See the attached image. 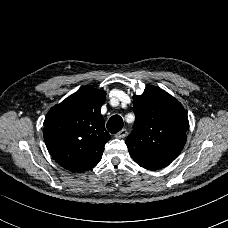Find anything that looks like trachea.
I'll use <instances>...</instances> for the list:
<instances>
[{
  "mask_svg": "<svg viewBox=\"0 0 228 228\" xmlns=\"http://www.w3.org/2000/svg\"><path fill=\"white\" fill-rule=\"evenodd\" d=\"M124 126L122 117L113 115L107 122V130L112 134L119 132Z\"/></svg>",
  "mask_w": 228,
  "mask_h": 228,
  "instance_id": "3493384b",
  "label": "trachea"
}]
</instances>
